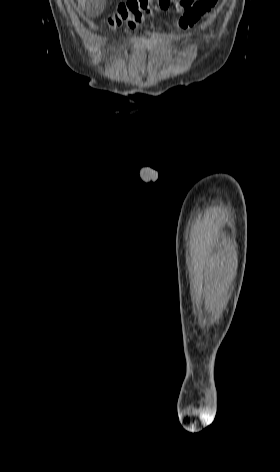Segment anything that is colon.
Masks as SVG:
<instances>
[{
  "instance_id": "obj_1",
  "label": "colon",
  "mask_w": 280,
  "mask_h": 472,
  "mask_svg": "<svg viewBox=\"0 0 280 472\" xmlns=\"http://www.w3.org/2000/svg\"><path fill=\"white\" fill-rule=\"evenodd\" d=\"M181 0H126L106 19L111 28L134 29L155 12L175 8ZM212 2V1H209Z\"/></svg>"
}]
</instances>
